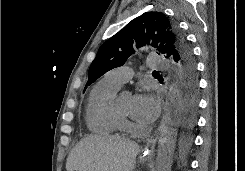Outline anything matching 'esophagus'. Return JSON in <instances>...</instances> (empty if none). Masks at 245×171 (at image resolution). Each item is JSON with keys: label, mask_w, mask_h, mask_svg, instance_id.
I'll list each match as a JSON object with an SVG mask.
<instances>
[{"label": "esophagus", "mask_w": 245, "mask_h": 171, "mask_svg": "<svg viewBox=\"0 0 245 171\" xmlns=\"http://www.w3.org/2000/svg\"><path fill=\"white\" fill-rule=\"evenodd\" d=\"M157 138H158V134L157 133H155L154 136L150 137V139L147 142L146 148H145V150L142 153L143 158H148V157H150L152 155L155 143L157 141Z\"/></svg>", "instance_id": "1"}]
</instances>
